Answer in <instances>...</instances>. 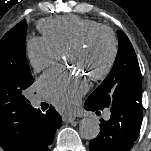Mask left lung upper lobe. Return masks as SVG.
<instances>
[{
  "instance_id": "obj_1",
  "label": "left lung upper lobe",
  "mask_w": 151,
  "mask_h": 151,
  "mask_svg": "<svg viewBox=\"0 0 151 151\" xmlns=\"http://www.w3.org/2000/svg\"><path fill=\"white\" fill-rule=\"evenodd\" d=\"M117 33L119 48L113 68L86 100L98 110L123 105L130 92L142 86V75L133 46L124 32Z\"/></svg>"
}]
</instances>
